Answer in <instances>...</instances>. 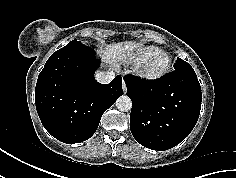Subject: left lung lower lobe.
<instances>
[{
	"mask_svg": "<svg viewBox=\"0 0 236 178\" xmlns=\"http://www.w3.org/2000/svg\"><path fill=\"white\" fill-rule=\"evenodd\" d=\"M132 100L130 130L138 143L152 150L170 149L194 128L202 93L195 71L174 70L152 81L125 76Z\"/></svg>",
	"mask_w": 236,
	"mask_h": 178,
	"instance_id": "0a47b994",
	"label": "left lung lower lobe"
}]
</instances>
